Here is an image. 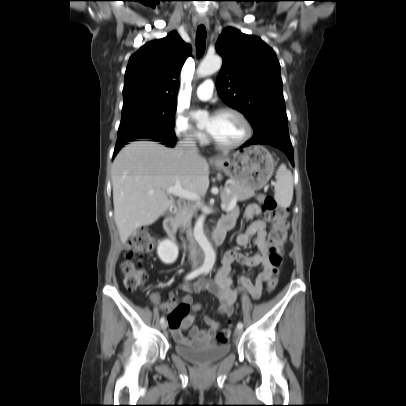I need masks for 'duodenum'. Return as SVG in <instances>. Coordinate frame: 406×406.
<instances>
[{
  "mask_svg": "<svg viewBox=\"0 0 406 406\" xmlns=\"http://www.w3.org/2000/svg\"><path fill=\"white\" fill-rule=\"evenodd\" d=\"M186 209V203L179 202L175 212L164 220V230L172 239H176L177 237L179 219ZM233 225L234 223L231 221H220L218 223L212 234L213 241L216 245H221L224 242L226 233L233 227Z\"/></svg>",
  "mask_w": 406,
  "mask_h": 406,
  "instance_id": "duodenum-1",
  "label": "duodenum"
}]
</instances>
